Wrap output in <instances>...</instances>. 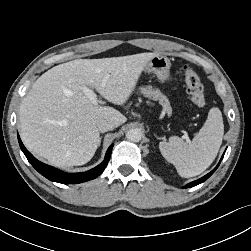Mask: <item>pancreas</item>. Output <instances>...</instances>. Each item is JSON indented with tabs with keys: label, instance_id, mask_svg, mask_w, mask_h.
<instances>
[{
	"label": "pancreas",
	"instance_id": "cf45deb5",
	"mask_svg": "<svg viewBox=\"0 0 251 251\" xmlns=\"http://www.w3.org/2000/svg\"><path fill=\"white\" fill-rule=\"evenodd\" d=\"M139 93L151 100H159V103L163 106L164 111L168 115L172 113L168 98L163 95L159 89H154L152 86H145L139 88Z\"/></svg>",
	"mask_w": 251,
	"mask_h": 251
}]
</instances>
